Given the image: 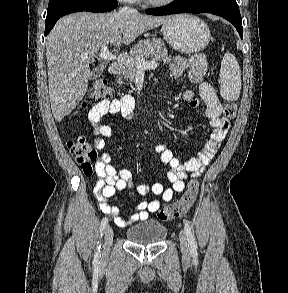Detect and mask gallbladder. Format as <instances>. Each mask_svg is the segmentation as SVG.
<instances>
[{
	"label": "gallbladder",
	"mask_w": 288,
	"mask_h": 293,
	"mask_svg": "<svg viewBox=\"0 0 288 293\" xmlns=\"http://www.w3.org/2000/svg\"><path fill=\"white\" fill-rule=\"evenodd\" d=\"M104 67H95L91 73V79H97L103 73Z\"/></svg>",
	"instance_id": "gallbladder-1"
}]
</instances>
